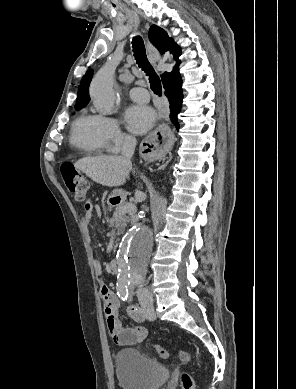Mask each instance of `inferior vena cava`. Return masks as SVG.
I'll return each mask as SVG.
<instances>
[{
  "mask_svg": "<svg viewBox=\"0 0 296 389\" xmlns=\"http://www.w3.org/2000/svg\"><path fill=\"white\" fill-rule=\"evenodd\" d=\"M136 143H137V141H136V138L134 136L128 135L126 137L125 143H124L123 148H122V154L124 155V157L126 159L131 160V158L134 154V151H135ZM136 294H137V297H138V300L140 303H142L146 300L152 299L151 294L143 286V284L138 285V289L136 291Z\"/></svg>",
  "mask_w": 296,
  "mask_h": 389,
  "instance_id": "inferior-vena-cava-1",
  "label": "inferior vena cava"
}]
</instances>
